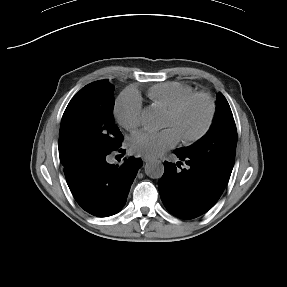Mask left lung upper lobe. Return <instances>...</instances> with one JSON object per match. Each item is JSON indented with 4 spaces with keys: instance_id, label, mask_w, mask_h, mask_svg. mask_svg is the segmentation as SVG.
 I'll return each mask as SVG.
<instances>
[{
    "instance_id": "left-lung-upper-lobe-1",
    "label": "left lung upper lobe",
    "mask_w": 287,
    "mask_h": 287,
    "mask_svg": "<svg viewBox=\"0 0 287 287\" xmlns=\"http://www.w3.org/2000/svg\"><path fill=\"white\" fill-rule=\"evenodd\" d=\"M236 145L234 118L227 100L219 93L215 117L207 134L193 145L176 150L196 156L228 181L235 161Z\"/></svg>"
}]
</instances>
